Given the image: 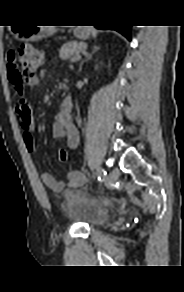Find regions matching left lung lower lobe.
Here are the masks:
<instances>
[{"label":"left lung lower lobe","mask_w":184,"mask_h":292,"mask_svg":"<svg viewBox=\"0 0 184 292\" xmlns=\"http://www.w3.org/2000/svg\"><path fill=\"white\" fill-rule=\"evenodd\" d=\"M98 29H114L123 34L127 39L131 40L130 28L131 26H109V25H96Z\"/></svg>","instance_id":"0a47b994"}]
</instances>
